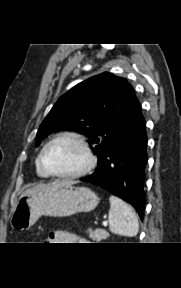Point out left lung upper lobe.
I'll list each match as a JSON object with an SVG mask.
<instances>
[{
    "mask_svg": "<svg viewBox=\"0 0 181 288\" xmlns=\"http://www.w3.org/2000/svg\"><path fill=\"white\" fill-rule=\"evenodd\" d=\"M135 98L133 87L124 78L111 73L93 76L59 98L39 127L36 146L53 132L76 131L89 138L99 163L122 128Z\"/></svg>",
    "mask_w": 181,
    "mask_h": 288,
    "instance_id": "5c2ea615",
    "label": "left lung upper lobe"
}]
</instances>
